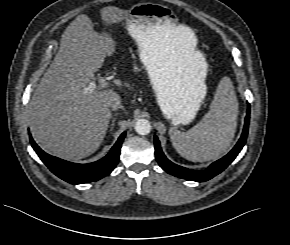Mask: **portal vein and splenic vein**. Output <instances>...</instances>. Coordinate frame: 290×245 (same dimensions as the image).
<instances>
[{"label":"portal vein and splenic vein","instance_id":"1","mask_svg":"<svg viewBox=\"0 0 290 245\" xmlns=\"http://www.w3.org/2000/svg\"><path fill=\"white\" fill-rule=\"evenodd\" d=\"M110 86V83L107 81V79L105 77H100L98 80V85H96L95 83H90L89 87L87 88V90L89 91H93L95 89H104Z\"/></svg>","mask_w":290,"mask_h":245}]
</instances>
